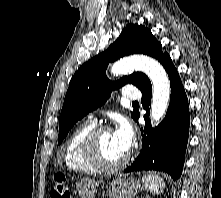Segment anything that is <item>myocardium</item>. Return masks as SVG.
I'll list each match as a JSON object with an SVG mask.
<instances>
[{
  "label": "myocardium",
  "mask_w": 221,
  "mask_h": 198,
  "mask_svg": "<svg viewBox=\"0 0 221 198\" xmlns=\"http://www.w3.org/2000/svg\"><path fill=\"white\" fill-rule=\"evenodd\" d=\"M111 131V128L106 125L95 126L87 135L84 142V152L87 160L100 171H116L123 168L129 161V155L126 154L124 158L118 162H107L100 151L99 139L100 136Z\"/></svg>",
  "instance_id": "myocardium-1"
}]
</instances>
